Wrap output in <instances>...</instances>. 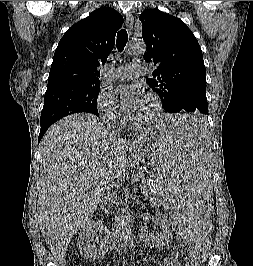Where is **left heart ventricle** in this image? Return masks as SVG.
Segmentation results:
<instances>
[{
    "mask_svg": "<svg viewBox=\"0 0 253 266\" xmlns=\"http://www.w3.org/2000/svg\"><path fill=\"white\" fill-rule=\"evenodd\" d=\"M154 108L153 101L145 96L137 114L135 115V119L138 121H145L149 119L154 112Z\"/></svg>",
    "mask_w": 253,
    "mask_h": 266,
    "instance_id": "obj_1",
    "label": "left heart ventricle"
}]
</instances>
